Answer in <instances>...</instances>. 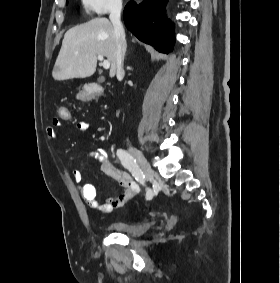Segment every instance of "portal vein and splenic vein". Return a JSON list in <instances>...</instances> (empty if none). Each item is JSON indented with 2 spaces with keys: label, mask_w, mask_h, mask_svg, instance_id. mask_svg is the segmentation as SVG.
<instances>
[{
  "label": "portal vein and splenic vein",
  "mask_w": 280,
  "mask_h": 283,
  "mask_svg": "<svg viewBox=\"0 0 280 283\" xmlns=\"http://www.w3.org/2000/svg\"><path fill=\"white\" fill-rule=\"evenodd\" d=\"M98 60L102 62V66L104 69H109L110 62L106 59H104V56L101 54H98Z\"/></svg>",
  "instance_id": "1"
}]
</instances>
